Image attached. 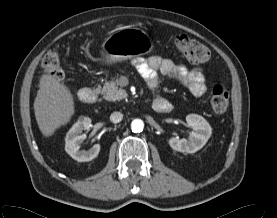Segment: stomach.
<instances>
[{
	"label": "stomach",
	"instance_id": "1",
	"mask_svg": "<svg viewBox=\"0 0 277 218\" xmlns=\"http://www.w3.org/2000/svg\"><path fill=\"white\" fill-rule=\"evenodd\" d=\"M153 49V43L147 33L139 28L125 27L109 35L102 44L101 54L108 62L115 63Z\"/></svg>",
	"mask_w": 277,
	"mask_h": 218
}]
</instances>
